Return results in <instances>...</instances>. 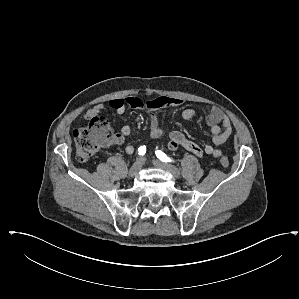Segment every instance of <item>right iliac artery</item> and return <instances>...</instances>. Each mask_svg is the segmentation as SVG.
<instances>
[{"instance_id": "1", "label": "right iliac artery", "mask_w": 299, "mask_h": 299, "mask_svg": "<svg viewBox=\"0 0 299 299\" xmlns=\"http://www.w3.org/2000/svg\"><path fill=\"white\" fill-rule=\"evenodd\" d=\"M145 153H146V146H140V147L138 148V154H139L140 156H144Z\"/></svg>"}]
</instances>
